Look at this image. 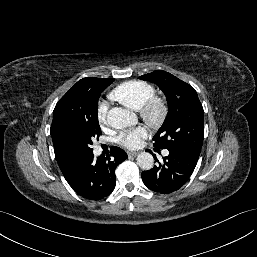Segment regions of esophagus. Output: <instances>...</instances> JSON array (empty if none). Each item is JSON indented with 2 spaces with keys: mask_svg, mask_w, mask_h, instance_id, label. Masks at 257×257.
<instances>
[{
  "mask_svg": "<svg viewBox=\"0 0 257 257\" xmlns=\"http://www.w3.org/2000/svg\"><path fill=\"white\" fill-rule=\"evenodd\" d=\"M139 153H140V152H138V151H137V152H128V155H129V156L136 157V156L139 155Z\"/></svg>",
  "mask_w": 257,
  "mask_h": 257,
  "instance_id": "34e87169",
  "label": "esophagus"
}]
</instances>
